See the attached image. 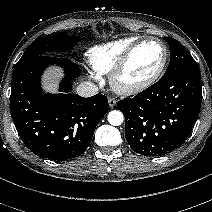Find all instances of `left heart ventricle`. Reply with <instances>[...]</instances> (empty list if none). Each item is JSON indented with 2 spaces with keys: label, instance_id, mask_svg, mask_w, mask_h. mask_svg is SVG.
<instances>
[{
  "label": "left heart ventricle",
  "instance_id": "1",
  "mask_svg": "<svg viewBox=\"0 0 212 212\" xmlns=\"http://www.w3.org/2000/svg\"><path fill=\"white\" fill-rule=\"evenodd\" d=\"M163 59V49L156 42H148L141 45L132 56L125 72L123 80L127 83L139 82L159 67Z\"/></svg>",
  "mask_w": 212,
  "mask_h": 212
}]
</instances>
